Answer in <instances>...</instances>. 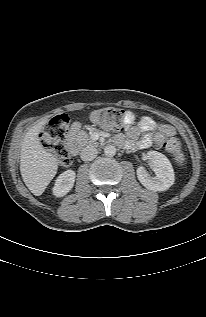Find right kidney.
<instances>
[{
    "label": "right kidney",
    "mask_w": 206,
    "mask_h": 317,
    "mask_svg": "<svg viewBox=\"0 0 206 317\" xmlns=\"http://www.w3.org/2000/svg\"><path fill=\"white\" fill-rule=\"evenodd\" d=\"M75 175V172L70 169L58 176L53 188V193L56 197H63L73 188Z\"/></svg>",
    "instance_id": "right-kidney-1"
}]
</instances>
